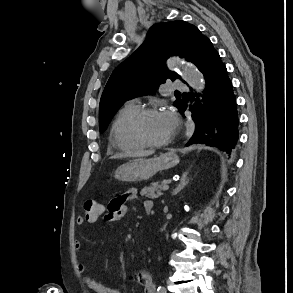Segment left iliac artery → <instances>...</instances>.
<instances>
[{
    "mask_svg": "<svg viewBox=\"0 0 293 293\" xmlns=\"http://www.w3.org/2000/svg\"><path fill=\"white\" fill-rule=\"evenodd\" d=\"M157 291H158V293H166V289L162 286H159Z\"/></svg>",
    "mask_w": 293,
    "mask_h": 293,
    "instance_id": "obj_1",
    "label": "left iliac artery"
}]
</instances>
